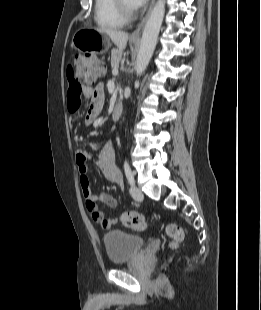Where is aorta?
<instances>
[{
	"instance_id": "aorta-1",
	"label": "aorta",
	"mask_w": 261,
	"mask_h": 310,
	"mask_svg": "<svg viewBox=\"0 0 261 310\" xmlns=\"http://www.w3.org/2000/svg\"><path fill=\"white\" fill-rule=\"evenodd\" d=\"M164 13L165 0H157L143 30L135 66L137 76H141L144 73L153 55Z\"/></svg>"
}]
</instances>
